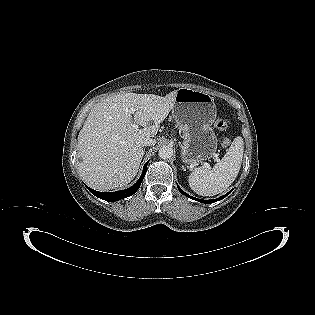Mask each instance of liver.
<instances>
[{
  "instance_id": "liver-1",
  "label": "liver",
  "mask_w": 315,
  "mask_h": 315,
  "mask_svg": "<svg viewBox=\"0 0 315 315\" xmlns=\"http://www.w3.org/2000/svg\"><path fill=\"white\" fill-rule=\"evenodd\" d=\"M177 90L164 97L122 93L94 105L78 135V170L97 190L123 187L136 176L142 140L154 137L174 106ZM134 108L132 118L129 112ZM143 128H134V123Z\"/></svg>"
}]
</instances>
